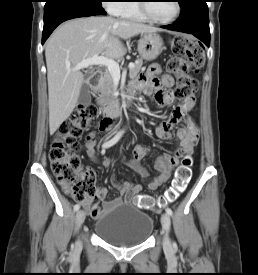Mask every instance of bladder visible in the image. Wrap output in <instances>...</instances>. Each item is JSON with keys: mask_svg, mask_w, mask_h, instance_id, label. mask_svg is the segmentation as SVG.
<instances>
[{"mask_svg": "<svg viewBox=\"0 0 258 275\" xmlns=\"http://www.w3.org/2000/svg\"><path fill=\"white\" fill-rule=\"evenodd\" d=\"M153 228V218L147 212L125 203L102 215L93 230L108 243L128 247L146 242Z\"/></svg>", "mask_w": 258, "mask_h": 275, "instance_id": "obj_1", "label": "bladder"}]
</instances>
